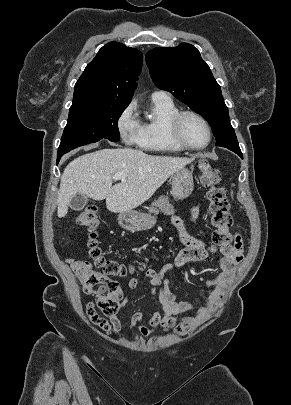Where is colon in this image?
Masks as SVG:
<instances>
[{"label": "colon", "mask_w": 291, "mask_h": 405, "mask_svg": "<svg viewBox=\"0 0 291 405\" xmlns=\"http://www.w3.org/2000/svg\"><path fill=\"white\" fill-rule=\"evenodd\" d=\"M198 168L201 183L207 189L206 198L213 227L212 242L214 246L230 245L233 241L229 230L232 218L227 191L219 186L221 174L206 160L199 161ZM76 224L87 232L88 255L97 269H94L90 262L83 260L70 258L68 262L84 292L96 297L102 313L106 316L116 315L120 307L122 289L119 282L112 277L126 276L132 269L102 255L96 234L100 226V218L95 207L85 208L77 216Z\"/></svg>", "instance_id": "obj_1"}]
</instances>
